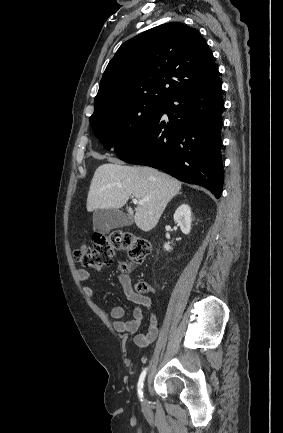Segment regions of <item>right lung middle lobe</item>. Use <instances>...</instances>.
Wrapping results in <instances>:
<instances>
[{
  "mask_svg": "<svg viewBox=\"0 0 283 433\" xmlns=\"http://www.w3.org/2000/svg\"><path fill=\"white\" fill-rule=\"evenodd\" d=\"M162 105L147 101L123 104L92 115L90 123L103 146L119 154L137 139Z\"/></svg>",
  "mask_w": 283,
  "mask_h": 433,
  "instance_id": "1",
  "label": "right lung middle lobe"
}]
</instances>
